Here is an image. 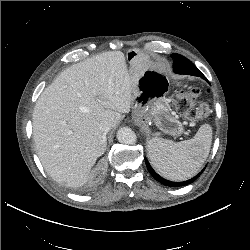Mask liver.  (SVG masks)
<instances>
[{"label":"liver","mask_w":250,"mask_h":250,"mask_svg":"<svg viewBox=\"0 0 250 250\" xmlns=\"http://www.w3.org/2000/svg\"><path fill=\"white\" fill-rule=\"evenodd\" d=\"M133 76L121 51L100 53L63 72L42 92L33 111V137L45 171L79 187L107 147L103 122L117 126L132 104Z\"/></svg>","instance_id":"1"}]
</instances>
